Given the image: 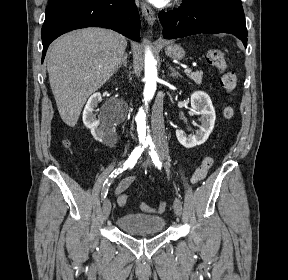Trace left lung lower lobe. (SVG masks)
I'll return each mask as SVG.
<instances>
[{"mask_svg":"<svg viewBox=\"0 0 288 280\" xmlns=\"http://www.w3.org/2000/svg\"><path fill=\"white\" fill-rule=\"evenodd\" d=\"M159 19L166 39L199 33H230L247 47L244 13L213 0L184 1L177 9L160 12Z\"/></svg>","mask_w":288,"mask_h":280,"instance_id":"1","label":"left lung lower lobe"}]
</instances>
